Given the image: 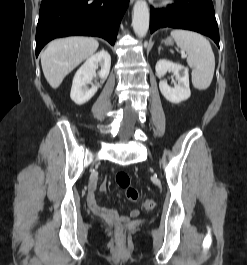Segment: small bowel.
Listing matches in <instances>:
<instances>
[{"instance_id": "1", "label": "small bowel", "mask_w": 247, "mask_h": 265, "mask_svg": "<svg viewBox=\"0 0 247 265\" xmlns=\"http://www.w3.org/2000/svg\"><path fill=\"white\" fill-rule=\"evenodd\" d=\"M107 189V184L106 182H104L101 186H100V191L101 192H105ZM88 204L90 209L97 215L104 217L108 220H127L128 217H121L119 216L118 212L116 210L113 209H107L104 207H101L97 204L96 202V198H95V191L92 190L88 196ZM139 215V211L137 209H134L131 211L130 213V217H137Z\"/></svg>"}]
</instances>
